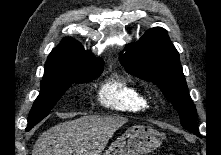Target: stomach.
<instances>
[{"label": "stomach", "instance_id": "1", "mask_svg": "<svg viewBox=\"0 0 221 155\" xmlns=\"http://www.w3.org/2000/svg\"><path fill=\"white\" fill-rule=\"evenodd\" d=\"M161 143L157 130L149 126H133L114 141L103 155H146Z\"/></svg>", "mask_w": 221, "mask_h": 155}]
</instances>
